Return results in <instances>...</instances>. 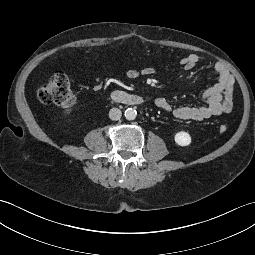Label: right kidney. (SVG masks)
I'll return each instance as SVG.
<instances>
[{"mask_svg":"<svg viewBox=\"0 0 255 255\" xmlns=\"http://www.w3.org/2000/svg\"><path fill=\"white\" fill-rule=\"evenodd\" d=\"M70 112H71V110H66L64 113H65V115H69Z\"/></svg>","mask_w":255,"mask_h":255,"instance_id":"obj_1","label":"right kidney"}]
</instances>
